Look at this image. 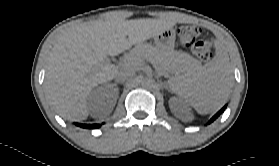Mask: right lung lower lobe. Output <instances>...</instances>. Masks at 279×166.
<instances>
[{
    "mask_svg": "<svg viewBox=\"0 0 279 166\" xmlns=\"http://www.w3.org/2000/svg\"><path fill=\"white\" fill-rule=\"evenodd\" d=\"M77 125H78L79 127L89 128V129L100 127L99 124H77Z\"/></svg>",
    "mask_w": 279,
    "mask_h": 166,
    "instance_id": "right-lung-lower-lobe-1",
    "label": "right lung lower lobe"
}]
</instances>
